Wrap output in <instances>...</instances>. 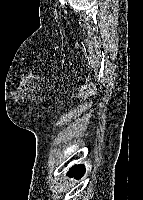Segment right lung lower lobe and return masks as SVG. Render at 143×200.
Returning a JSON list of instances; mask_svg holds the SVG:
<instances>
[{
	"label": "right lung lower lobe",
	"mask_w": 143,
	"mask_h": 200,
	"mask_svg": "<svg viewBox=\"0 0 143 200\" xmlns=\"http://www.w3.org/2000/svg\"><path fill=\"white\" fill-rule=\"evenodd\" d=\"M84 173L85 167L83 165H76L69 170L68 175H74L80 178L84 175Z\"/></svg>",
	"instance_id": "98d812e1"
}]
</instances>
